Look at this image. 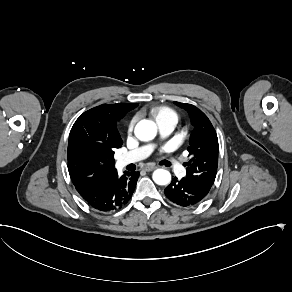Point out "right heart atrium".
Here are the masks:
<instances>
[{
    "instance_id": "obj_1",
    "label": "right heart atrium",
    "mask_w": 292,
    "mask_h": 292,
    "mask_svg": "<svg viewBox=\"0 0 292 292\" xmlns=\"http://www.w3.org/2000/svg\"><path fill=\"white\" fill-rule=\"evenodd\" d=\"M134 124H135V119H131L128 124H127V127H126V134L127 136H130L131 135V132L133 130V127H134Z\"/></svg>"
}]
</instances>
